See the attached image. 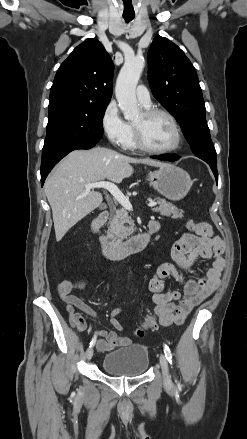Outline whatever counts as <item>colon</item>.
I'll list each match as a JSON object with an SVG mask.
<instances>
[{"label": "colon", "instance_id": "obj_1", "mask_svg": "<svg viewBox=\"0 0 247 439\" xmlns=\"http://www.w3.org/2000/svg\"><path fill=\"white\" fill-rule=\"evenodd\" d=\"M186 227L188 230L190 231H196L197 229H199V223H195L193 221H189L186 224ZM158 325V318L156 315H154L153 313H150L149 315L146 316V318L144 319V322L142 324V327H140L137 330V335L142 336L145 332V330L147 329H153Z\"/></svg>", "mask_w": 247, "mask_h": 439}]
</instances>
